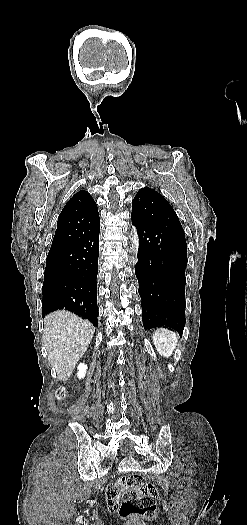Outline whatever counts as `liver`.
<instances>
[{
  "mask_svg": "<svg viewBox=\"0 0 247 525\" xmlns=\"http://www.w3.org/2000/svg\"><path fill=\"white\" fill-rule=\"evenodd\" d=\"M95 327L70 311H54L44 319L43 347L52 367L51 375L68 381L78 361L86 353Z\"/></svg>",
  "mask_w": 247,
  "mask_h": 525,
  "instance_id": "liver-1",
  "label": "liver"
}]
</instances>
